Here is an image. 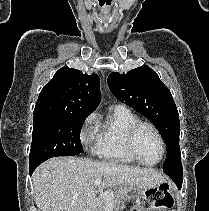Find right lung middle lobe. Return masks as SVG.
I'll list each match as a JSON object with an SVG mask.
<instances>
[{"label": "right lung middle lobe", "mask_w": 209, "mask_h": 211, "mask_svg": "<svg viewBox=\"0 0 209 211\" xmlns=\"http://www.w3.org/2000/svg\"><path fill=\"white\" fill-rule=\"evenodd\" d=\"M87 116L34 118L30 166H38L56 156H75L83 153L79 135Z\"/></svg>", "instance_id": "dd1d6c3e"}]
</instances>
